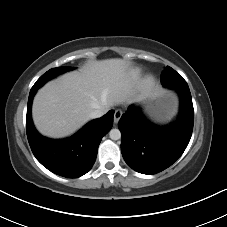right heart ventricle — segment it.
<instances>
[{
	"mask_svg": "<svg viewBox=\"0 0 227 227\" xmlns=\"http://www.w3.org/2000/svg\"><path fill=\"white\" fill-rule=\"evenodd\" d=\"M140 72L141 71L139 69L134 70L133 71V76L138 77L140 75Z\"/></svg>",
	"mask_w": 227,
	"mask_h": 227,
	"instance_id": "obj_1",
	"label": "right heart ventricle"
}]
</instances>
